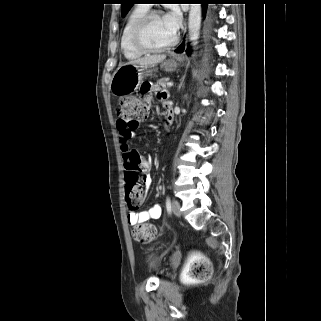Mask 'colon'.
<instances>
[{
  "mask_svg": "<svg viewBox=\"0 0 321 321\" xmlns=\"http://www.w3.org/2000/svg\"><path fill=\"white\" fill-rule=\"evenodd\" d=\"M145 97H125L120 100L117 109L119 120L131 127H136L144 121L149 113V106L145 104ZM125 195L127 207L130 212H135L141 205L143 186L139 174L147 169V161L138 153L131 154L126 164ZM134 238L141 243H148L157 237V229L152 224H143L133 230ZM209 261L200 255H196L189 268V276L198 281L207 280L211 275Z\"/></svg>",
  "mask_w": 321,
  "mask_h": 321,
  "instance_id": "obj_1",
  "label": "colon"
}]
</instances>
